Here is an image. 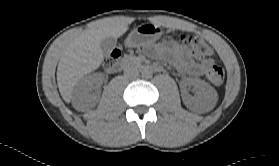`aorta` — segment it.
I'll use <instances>...</instances> for the list:
<instances>
[{"label": "aorta", "instance_id": "762f6f07", "mask_svg": "<svg viewBox=\"0 0 279 166\" xmlns=\"http://www.w3.org/2000/svg\"><path fill=\"white\" fill-rule=\"evenodd\" d=\"M141 75L145 79H150L153 76V72H152V70L150 68L145 67V68L142 69Z\"/></svg>", "mask_w": 279, "mask_h": 166}]
</instances>
